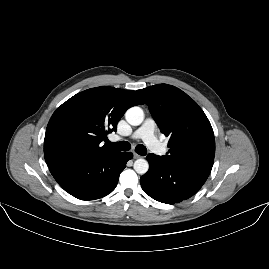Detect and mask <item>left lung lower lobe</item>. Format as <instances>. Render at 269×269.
Returning a JSON list of instances; mask_svg holds the SVG:
<instances>
[{
	"label": "left lung lower lobe",
	"mask_w": 269,
	"mask_h": 269,
	"mask_svg": "<svg viewBox=\"0 0 269 269\" xmlns=\"http://www.w3.org/2000/svg\"><path fill=\"white\" fill-rule=\"evenodd\" d=\"M150 168L140 178L142 189L153 199L179 203L193 196L205 183L208 175L165 162L159 156H147Z\"/></svg>",
	"instance_id": "1"
}]
</instances>
